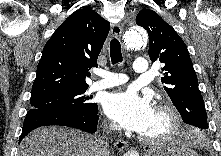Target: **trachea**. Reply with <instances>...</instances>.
<instances>
[{"label": "trachea", "mask_w": 221, "mask_h": 156, "mask_svg": "<svg viewBox=\"0 0 221 156\" xmlns=\"http://www.w3.org/2000/svg\"><path fill=\"white\" fill-rule=\"evenodd\" d=\"M110 57L113 65L123 61L121 45L116 38L112 39L110 42Z\"/></svg>", "instance_id": "trachea-1"}]
</instances>
